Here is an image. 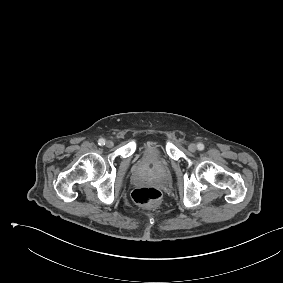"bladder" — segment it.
<instances>
[{
  "instance_id": "bladder-1",
  "label": "bladder",
  "mask_w": 283,
  "mask_h": 283,
  "mask_svg": "<svg viewBox=\"0 0 283 283\" xmlns=\"http://www.w3.org/2000/svg\"><path fill=\"white\" fill-rule=\"evenodd\" d=\"M161 152L160 147L157 144H146L142 149L141 159L144 162H149L155 159Z\"/></svg>"
}]
</instances>
